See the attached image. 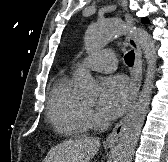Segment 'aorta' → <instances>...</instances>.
<instances>
[{"label": "aorta", "mask_w": 168, "mask_h": 162, "mask_svg": "<svg viewBox=\"0 0 168 162\" xmlns=\"http://www.w3.org/2000/svg\"><path fill=\"white\" fill-rule=\"evenodd\" d=\"M127 31L126 23L117 18L93 23L86 31L85 48L88 52H95ZM136 34L148 66L142 91L126 122L116 147L113 162H131L151 101L157 60L155 43L150 34L144 29H137ZM75 87L77 96L80 99L90 100L97 97L98 85L87 71L77 72Z\"/></svg>", "instance_id": "1"}]
</instances>
